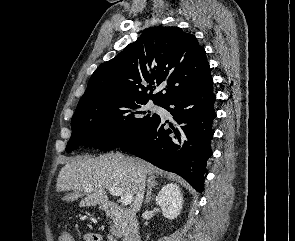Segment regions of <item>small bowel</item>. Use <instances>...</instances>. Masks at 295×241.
Listing matches in <instances>:
<instances>
[{
	"instance_id": "1",
	"label": "small bowel",
	"mask_w": 295,
	"mask_h": 241,
	"mask_svg": "<svg viewBox=\"0 0 295 241\" xmlns=\"http://www.w3.org/2000/svg\"><path fill=\"white\" fill-rule=\"evenodd\" d=\"M84 241H103V237L97 234H86L84 236Z\"/></svg>"
}]
</instances>
